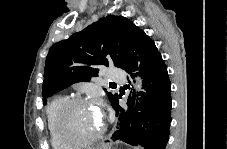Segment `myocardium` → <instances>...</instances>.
Masks as SVG:
<instances>
[{
	"label": "myocardium",
	"mask_w": 227,
	"mask_h": 149,
	"mask_svg": "<svg viewBox=\"0 0 227 149\" xmlns=\"http://www.w3.org/2000/svg\"><path fill=\"white\" fill-rule=\"evenodd\" d=\"M85 102H88L87 98L72 97V98L66 99L61 104L59 109L57 110L56 117H55L56 131H57V134H58L60 140L68 146H89V145H93L96 141H98L101 138V136L103 135V133L106 130V123H105V121H102L99 131L97 133H95L94 135L88 137V138L76 139V138L70 137L66 134L65 117H66L67 112L74 105L80 104V103H85Z\"/></svg>",
	"instance_id": "obj_1"
}]
</instances>
